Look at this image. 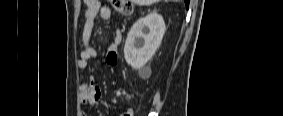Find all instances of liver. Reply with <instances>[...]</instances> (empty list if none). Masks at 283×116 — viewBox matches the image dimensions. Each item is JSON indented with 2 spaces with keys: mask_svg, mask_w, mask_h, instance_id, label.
Segmentation results:
<instances>
[{
  "mask_svg": "<svg viewBox=\"0 0 283 116\" xmlns=\"http://www.w3.org/2000/svg\"><path fill=\"white\" fill-rule=\"evenodd\" d=\"M137 4L140 5H151L155 2H157L158 0H134Z\"/></svg>",
  "mask_w": 283,
  "mask_h": 116,
  "instance_id": "1",
  "label": "liver"
}]
</instances>
